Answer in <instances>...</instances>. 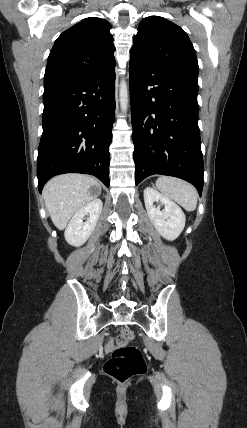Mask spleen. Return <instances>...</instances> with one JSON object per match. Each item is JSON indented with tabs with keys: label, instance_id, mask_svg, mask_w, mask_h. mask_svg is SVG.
I'll return each mask as SVG.
<instances>
[{
	"label": "spleen",
	"instance_id": "3e777b00",
	"mask_svg": "<svg viewBox=\"0 0 247 428\" xmlns=\"http://www.w3.org/2000/svg\"><path fill=\"white\" fill-rule=\"evenodd\" d=\"M156 187L166 197L176 201L187 211H194L197 206V191L190 183L175 177L160 176Z\"/></svg>",
	"mask_w": 247,
	"mask_h": 428
}]
</instances>
